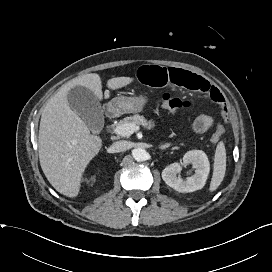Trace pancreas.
<instances>
[{"label":"pancreas","instance_id":"pancreas-1","mask_svg":"<svg viewBox=\"0 0 272 272\" xmlns=\"http://www.w3.org/2000/svg\"><path fill=\"white\" fill-rule=\"evenodd\" d=\"M127 123H131L136 126L142 125L143 127L147 128V129H152L155 127V122L153 120L147 121V119H145V117L140 116L138 114L130 116V117H125L116 126L122 125V124H127Z\"/></svg>","mask_w":272,"mask_h":272}]
</instances>
